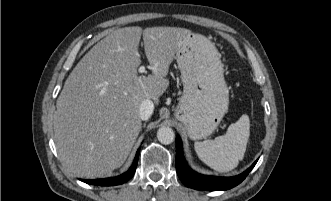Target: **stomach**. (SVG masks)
<instances>
[{"mask_svg": "<svg viewBox=\"0 0 331 201\" xmlns=\"http://www.w3.org/2000/svg\"><path fill=\"white\" fill-rule=\"evenodd\" d=\"M175 55L184 85L175 116L192 140L206 138L228 110L229 90L220 54L207 37L191 33Z\"/></svg>", "mask_w": 331, "mask_h": 201, "instance_id": "0dacf381", "label": "stomach"}]
</instances>
